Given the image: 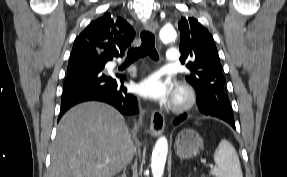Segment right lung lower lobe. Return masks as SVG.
I'll return each instance as SVG.
<instances>
[{"label":"right lung lower lobe","mask_w":287,"mask_h":177,"mask_svg":"<svg viewBox=\"0 0 287 177\" xmlns=\"http://www.w3.org/2000/svg\"><path fill=\"white\" fill-rule=\"evenodd\" d=\"M104 65L83 64L67 70L59 119L72 106L85 101L106 102L122 114L137 112V99L123 86V75H108Z\"/></svg>","instance_id":"right-lung-lower-lobe-1"}]
</instances>
